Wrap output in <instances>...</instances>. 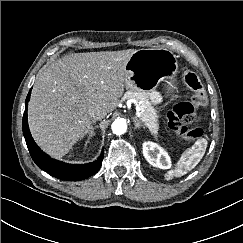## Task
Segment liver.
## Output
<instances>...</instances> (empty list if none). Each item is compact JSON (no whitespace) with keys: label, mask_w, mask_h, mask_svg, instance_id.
<instances>
[{"label":"liver","mask_w":243,"mask_h":243,"mask_svg":"<svg viewBox=\"0 0 243 243\" xmlns=\"http://www.w3.org/2000/svg\"><path fill=\"white\" fill-rule=\"evenodd\" d=\"M135 49L66 55L41 70L28 106V123L36 143L61 158L83 138L89 110L113 111L126 85V64Z\"/></svg>","instance_id":"6515ba94"}]
</instances>
